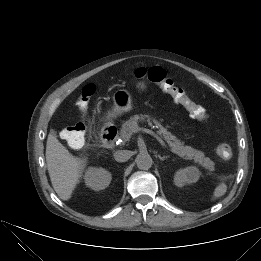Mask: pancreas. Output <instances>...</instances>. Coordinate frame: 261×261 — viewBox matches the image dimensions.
<instances>
[{
  "mask_svg": "<svg viewBox=\"0 0 261 261\" xmlns=\"http://www.w3.org/2000/svg\"><path fill=\"white\" fill-rule=\"evenodd\" d=\"M147 120L148 125L158 129L157 133L168 143L171 151L187 160H194L195 163L201 164L202 167L209 171H214L215 163L206 157L202 151L196 150L190 146H184L183 142L176 138L175 135L168 132L160 122L146 115H134L128 121L124 122L120 131L121 138L128 141L133 133V129L138 127L139 121ZM155 126H153V123Z\"/></svg>",
  "mask_w": 261,
  "mask_h": 261,
  "instance_id": "obj_1",
  "label": "pancreas"
}]
</instances>
